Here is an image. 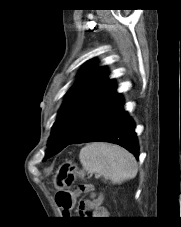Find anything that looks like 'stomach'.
Here are the masks:
<instances>
[{"label":"stomach","instance_id":"0dacf381","mask_svg":"<svg viewBox=\"0 0 181 227\" xmlns=\"http://www.w3.org/2000/svg\"><path fill=\"white\" fill-rule=\"evenodd\" d=\"M78 175L77 166L71 162L63 163L54 177V186L57 190L70 189Z\"/></svg>","mask_w":181,"mask_h":227}]
</instances>
